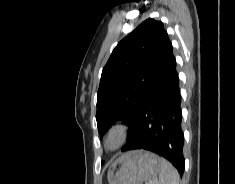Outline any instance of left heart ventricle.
<instances>
[{
	"label": "left heart ventricle",
	"instance_id": "1",
	"mask_svg": "<svg viewBox=\"0 0 235 184\" xmlns=\"http://www.w3.org/2000/svg\"><path fill=\"white\" fill-rule=\"evenodd\" d=\"M114 143H115V141H114V139H112V138L109 139L108 142H107V144H108L109 147H112V146L114 145Z\"/></svg>",
	"mask_w": 235,
	"mask_h": 184
}]
</instances>
